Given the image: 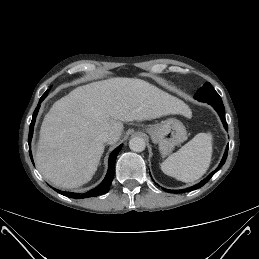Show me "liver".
Segmentation results:
<instances>
[{
    "label": "liver",
    "mask_w": 259,
    "mask_h": 259,
    "mask_svg": "<svg viewBox=\"0 0 259 259\" xmlns=\"http://www.w3.org/2000/svg\"><path fill=\"white\" fill-rule=\"evenodd\" d=\"M180 99L135 78L116 77L72 90L45 115L35 162L55 187L73 189L89 182L104 152L97 136L110 134L116 143L123 122L151 120L164 115H190Z\"/></svg>",
    "instance_id": "1"
}]
</instances>
